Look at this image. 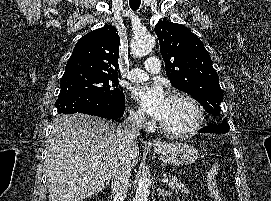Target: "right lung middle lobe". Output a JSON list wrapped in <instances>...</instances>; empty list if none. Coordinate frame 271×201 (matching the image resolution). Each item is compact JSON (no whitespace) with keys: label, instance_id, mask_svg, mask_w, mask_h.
<instances>
[{"label":"right lung middle lobe","instance_id":"1","mask_svg":"<svg viewBox=\"0 0 271 201\" xmlns=\"http://www.w3.org/2000/svg\"><path fill=\"white\" fill-rule=\"evenodd\" d=\"M60 87V95L87 94L96 97L111 98L123 94L117 88V75L86 70L65 71L61 78Z\"/></svg>","mask_w":271,"mask_h":201}]
</instances>
